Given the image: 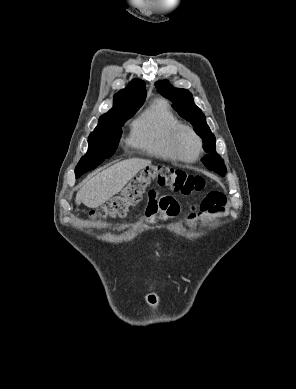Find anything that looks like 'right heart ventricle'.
I'll use <instances>...</instances> for the list:
<instances>
[{
  "instance_id": "right-heart-ventricle-1",
  "label": "right heart ventricle",
  "mask_w": 296,
  "mask_h": 389,
  "mask_svg": "<svg viewBox=\"0 0 296 389\" xmlns=\"http://www.w3.org/2000/svg\"><path fill=\"white\" fill-rule=\"evenodd\" d=\"M180 124L169 104L158 99L131 122L128 144L149 156L173 161L176 158L169 140L173 129Z\"/></svg>"
}]
</instances>
